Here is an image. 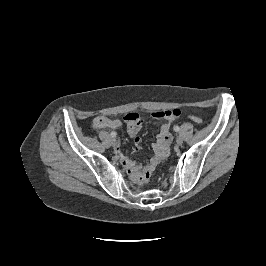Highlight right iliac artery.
Wrapping results in <instances>:
<instances>
[{
  "mask_svg": "<svg viewBox=\"0 0 266 266\" xmlns=\"http://www.w3.org/2000/svg\"><path fill=\"white\" fill-rule=\"evenodd\" d=\"M110 135H111L112 137H116L117 134H116V132H111Z\"/></svg>",
  "mask_w": 266,
  "mask_h": 266,
  "instance_id": "right-iliac-artery-1",
  "label": "right iliac artery"
}]
</instances>
